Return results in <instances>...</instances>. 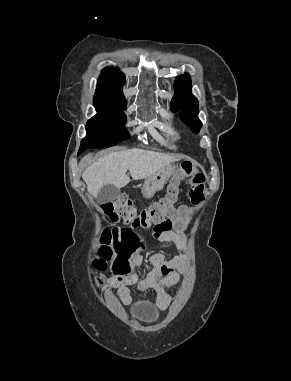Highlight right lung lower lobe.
Returning <instances> with one entry per match:
<instances>
[{
    "instance_id": "right-lung-lower-lobe-1",
    "label": "right lung lower lobe",
    "mask_w": 291,
    "mask_h": 381,
    "mask_svg": "<svg viewBox=\"0 0 291 381\" xmlns=\"http://www.w3.org/2000/svg\"><path fill=\"white\" fill-rule=\"evenodd\" d=\"M83 151L81 150V149H79V152H78V154H80V153H82Z\"/></svg>"
}]
</instances>
